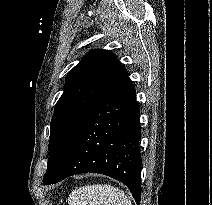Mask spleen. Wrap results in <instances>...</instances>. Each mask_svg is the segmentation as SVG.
Returning <instances> with one entry per match:
<instances>
[{
  "label": "spleen",
  "mask_w": 212,
  "mask_h": 205,
  "mask_svg": "<svg viewBox=\"0 0 212 205\" xmlns=\"http://www.w3.org/2000/svg\"><path fill=\"white\" fill-rule=\"evenodd\" d=\"M69 205H132L130 198L119 188L107 184H93L74 190Z\"/></svg>",
  "instance_id": "spleen-1"
}]
</instances>
